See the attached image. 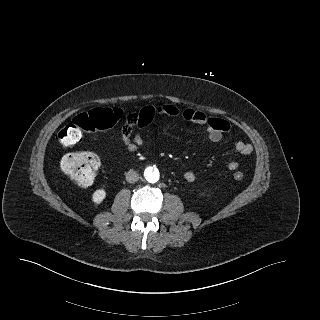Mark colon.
Segmentation results:
<instances>
[{
  "label": "colon",
  "instance_id": "1",
  "mask_svg": "<svg viewBox=\"0 0 320 320\" xmlns=\"http://www.w3.org/2000/svg\"><path fill=\"white\" fill-rule=\"evenodd\" d=\"M122 112L118 108L97 107L76 116L71 123L64 126L58 134L63 144L71 145L81 141L84 132L108 129L120 119ZM137 125L149 123L147 117L138 118ZM63 171L79 186H89L99 169V160L90 152L67 154L61 163ZM243 173L236 172L233 177L240 181Z\"/></svg>",
  "mask_w": 320,
  "mask_h": 320
}]
</instances>
